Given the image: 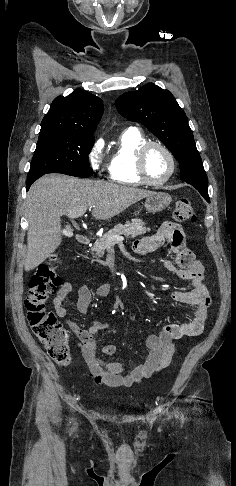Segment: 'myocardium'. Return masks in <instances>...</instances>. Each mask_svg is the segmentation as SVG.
<instances>
[{
  "label": "myocardium",
  "mask_w": 236,
  "mask_h": 486,
  "mask_svg": "<svg viewBox=\"0 0 236 486\" xmlns=\"http://www.w3.org/2000/svg\"><path fill=\"white\" fill-rule=\"evenodd\" d=\"M154 146L161 148L166 153V155L168 156L169 161H170V170H169L168 174L165 176V178H163L162 180H159V181H154V180L150 179V177L148 176V174L146 172V167H145V159H146L147 152L149 151V149L151 147H154ZM136 171H137L139 178L141 179V181L144 184H147V185H150V186L164 185L173 177V175L176 171L175 156H174L173 152L162 142L146 141L145 143H143L139 147V149L136 152Z\"/></svg>",
  "instance_id": "obj_1"
}]
</instances>
